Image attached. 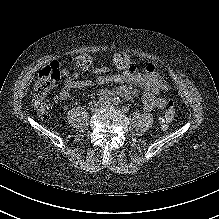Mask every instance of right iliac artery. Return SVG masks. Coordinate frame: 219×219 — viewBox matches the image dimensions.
Returning <instances> with one entry per match:
<instances>
[{"instance_id": "right-iliac-artery-1", "label": "right iliac artery", "mask_w": 219, "mask_h": 219, "mask_svg": "<svg viewBox=\"0 0 219 219\" xmlns=\"http://www.w3.org/2000/svg\"><path fill=\"white\" fill-rule=\"evenodd\" d=\"M110 98L108 96H100L99 101L100 103L109 102ZM95 102H91L90 105L93 106Z\"/></svg>"}]
</instances>
